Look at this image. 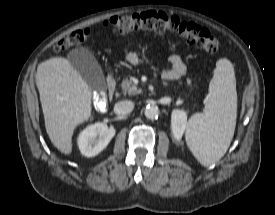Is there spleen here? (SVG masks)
<instances>
[{
    "instance_id": "1",
    "label": "spleen",
    "mask_w": 275,
    "mask_h": 215,
    "mask_svg": "<svg viewBox=\"0 0 275 215\" xmlns=\"http://www.w3.org/2000/svg\"><path fill=\"white\" fill-rule=\"evenodd\" d=\"M237 117L236 79L232 63L219 59L209 84L205 112L190 117L186 142L203 166L219 161L232 141Z\"/></svg>"
}]
</instances>
